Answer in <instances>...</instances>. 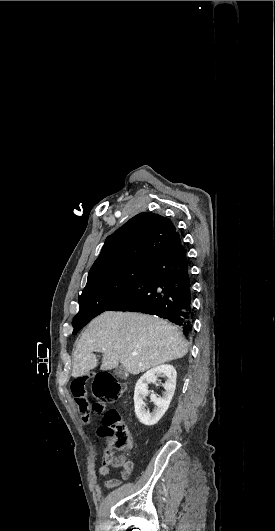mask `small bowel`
I'll use <instances>...</instances> for the list:
<instances>
[{"label": "small bowel", "instance_id": "obj_1", "mask_svg": "<svg viewBox=\"0 0 275 531\" xmlns=\"http://www.w3.org/2000/svg\"><path fill=\"white\" fill-rule=\"evenodd\" d=\"M131 448H132V447H129L128 449H131ZM128 449H127V450H128ZM122 458H123V459H127L126 457H122ZM98 474H99V475H102V476H106L107 474H109L108 469H106L105 465L102 466V467L98 470ZM122 476H123V477H127V479H128L131 475H122ZM104 487H105L106 489H111V488H108L106 482H104Z\"/></svg>", "mask_w": 275, "mask_h": 531}]
</instances>
